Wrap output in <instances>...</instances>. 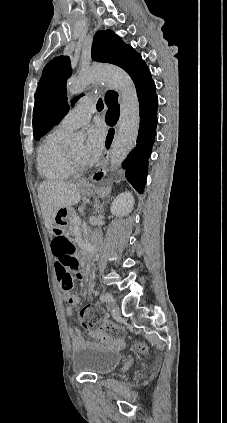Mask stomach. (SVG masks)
Returning <instances> with one entry per match:
<instances>
[{
  "mask_svg": "<svg viewBox=\"0 0 227 423\" xmlns=\"http://www.w3.org/2000/svg\"><path fill=\"white\" fill-rule=\"evenodd\" d=\"M80 188L82 194H86V196H93V194L99 192V190H97L93 184H89V182H80Z\"/></svg>",
  "mask_w": 227,
  "mask_h": 423,
  "instance_id": "0dacf381",
  "label": "stomach"
}]
</instances>
